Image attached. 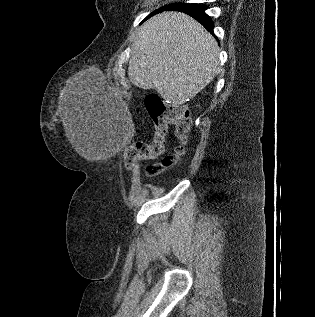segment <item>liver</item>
<instances>
[{
	"instance_id": "6515ba94",
	"label": "liver",
	"mask_w": 315,
	"mask_h": 317,
	"mask_svg": "<svg viewBox=\"0 0 315 317\" xmlns=\"http://www.w3.org/2000/svg\"><path fill=\"white\" fill-rule=\"evenodd\" d=\"M219 47L204 27L180 12H163L146 21L132 44L130 82L153 89L174 106L197 95L217 72ZM66 97L62 121L69 142L86 157L81 114Z\"/></svg>"
}]
</instances>
